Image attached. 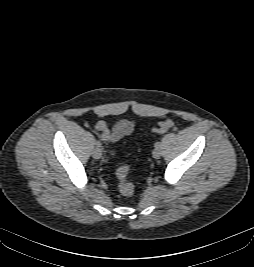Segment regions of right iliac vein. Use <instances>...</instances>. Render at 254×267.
Masks as SVG:
<instances>
[{
    "mask_svg": "<svg viewBox=\"0 0 254 267\" xmlns=\"http://www.w3.org/2000/svg\"><path fill=\"white\" fill-rule=\"evenodd\" d=\"M92 155L95 159H99L102 156V150L101 148L97 147L93 150Z\"/></svg>",
    "mask_w": 254,
    "mask_h": 267,
    "instance_id": "obj_1",
    "label": "right iliac vein"
}]
</instances>
